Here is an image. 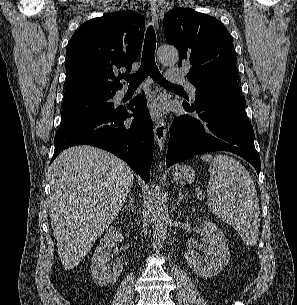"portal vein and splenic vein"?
Returning <instances> with one entry per match:
<instances>
[{
  "mask_svg": "<svg viewBox=\"0 0 297 305\" xmlns=\"http://www.w3.org/2000/svg\"><path fill=\"white\" fill-rule=\"evenodd\" d=\"M204 194L202 193V192H199L198 194H197V198L199 199V200H202V199H204Z\"/></svg>",
  "mask_w": 297,
  "mask_h": 305,
  "instance_id": "18ae733b",
  "label": "portal vein and splenic vein"
}]
</instances>
